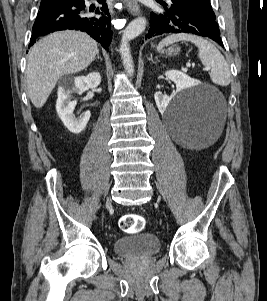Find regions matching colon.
<instances>
[{
  "instance_id": "obj_1",
  "label": "colon",
  "mask_w": 267,
  "mask_h": 301,
  "mask_svg": "<svg viewBox=\"0 0 267 301\" xmlns=\"http://www.w3.org/2000/svg\"><path fill=\"white\" fill-rule=\"evenodd\" d=\"M146 221L143 216L135 213H128L120 218L119 226L126 233H138L144 229Z\"/></svg>"
}]
</instances>
